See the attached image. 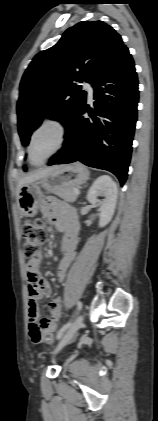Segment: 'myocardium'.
<instances>
[{
    "instance_id": "f54148a6",
    "label": "myocardium",
    "mask_w": 158,
    "mask_h": 421,
    "mask_svg": "<svg viewBox=\"0 0 158 421\" xmlns=\"http://www.w3.org/2000/svg\"><path fill=\"white\" fill-rule=\"evenodd\" d=\"M48 125L54 126L58 130V134H59L58 144L56 148L46 158H44L42 161L38 163H35L31 159V145H32L33 139L40 129ZM67 135H68V128H67L66 122L61 117L55 116V115H49L41 119L33 127L28 139L26 151H27L29 162L34 166H41L45 164L48 160H50L53 156H55L58 152H60V150L63 148L66 142Z\"/></svg>"
}]
</instances>
